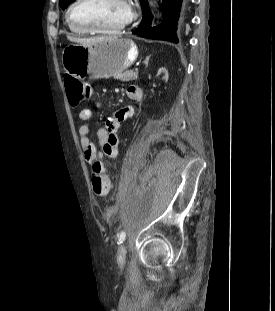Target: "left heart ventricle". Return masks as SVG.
<instances>
[{
  "mask_svg": "<svg viewBox=\"0 0 275 311\" xmlns=\"http://www.w3.org/2000/svg\"><path fill=\"white\" fill-rule=\"evenodd\" d=\"M72 16L79 24L114 29L127 21L129 11L123 0H89L77 6Z\"/></svg>",
  "mask_w": 275,
  "mask_h": 311,
  "instance_id": "obj_1",
  "label": "left heart ventricle"
}]
</instances>
